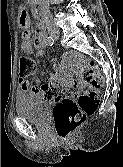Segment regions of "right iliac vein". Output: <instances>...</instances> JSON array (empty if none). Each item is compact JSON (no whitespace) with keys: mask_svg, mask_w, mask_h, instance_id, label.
<instances>
[{"mask_svg":"<svg viewBox=\"0 0 123 167\" xmlns=\"http://www.w3.org/2000/svg\"><path fill=\"white\" fill-rule=\"evenodd\" d=\"M49 33H50V35L52 36V37H54V38H57V37H59V30L58 29H56V28H51L50 30H49Z\"/></svg>","mask_w":123,"mask_h":167,"instance_id":"right-iliac-vein-1","label":"right iliac vein"}]
</instances>
